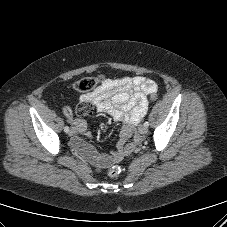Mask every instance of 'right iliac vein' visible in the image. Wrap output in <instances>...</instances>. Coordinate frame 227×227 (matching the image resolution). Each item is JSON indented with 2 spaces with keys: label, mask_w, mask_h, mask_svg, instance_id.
<instances>
[{
  "label": "right iliac vein",
  "mask_w": 227,
  "mask_h": 227,
  "mask_svg": "<svg viewBox=\"0 0 227 227\" xmlns=\"http://www.w3.org/2000/svg\"><path fill=\"white\" fill-rule=\"evenodd\" d=\"M75 128L74 127H72L71 129H70V131H69V135L70 136H73L74 134H75Z\"/></svg>",
  "instance_id": "obj_1"
}]
</instances>
